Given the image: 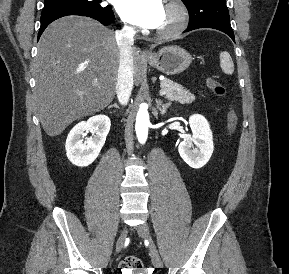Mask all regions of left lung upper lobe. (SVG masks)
Here are the masks:
<instances>
[{"mask_svg": "<svg viewBox=\"0 0 289 274\" xmlns=\"http://www.w3.org/2000/svg\"><path fill=\"white\" fill-rule=\"evenodd\" d=\"M189 12V26L204 22L230 23L226 0H182Z\"/></svg>", "mask_w": 289, "mask_h": 274, "instance_id": "obj_1", "label": "left lung upper lobe"}]
</instances>
